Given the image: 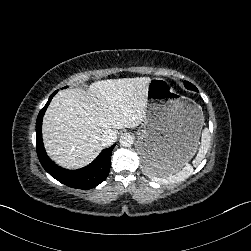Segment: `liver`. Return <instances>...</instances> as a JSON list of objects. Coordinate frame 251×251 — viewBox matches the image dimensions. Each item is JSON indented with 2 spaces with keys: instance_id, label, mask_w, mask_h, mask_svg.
<instances>
[{
  "instance_id": "obj_1",
  "label": "liver",
  "mask_w": 251,
  "mask_h": 251,
  "mask_svg": "<svg viewBox=\"0 0 251 251\" xmlns=\"http://www.w3.org/2000/svg\"><path fill=\"white\" fill-rule=\"evenodd\" d=\"M150 81L149 77L108 79L92 83L87 91H60L43 118V141L51 159L65 168H81L101 152L105 130L139 126L145 120Z\"/></svg>"
}]
</instances>
